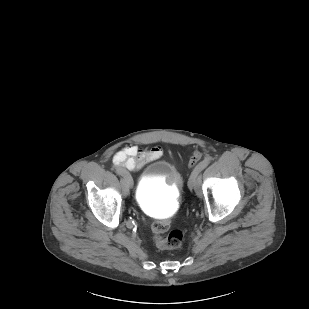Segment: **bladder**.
I'll list each match as a JSON object with an SVG mask.
<instances>
[{
    "label": "bladder",
    "instance_id": "bladder-1",
    "mask_svg": "<svg viewBox=\"0 0 309 309\" xmlns=\"http://www.w3.org/2000/svg\"><path fill=\"white\" fill-rule=\"evenodd\" d=\"M182 184V176L173 163L159 158L153 160L143 168L137 184V204L147 213L169 219L177 208Z\"/></svg>",
    "mask_w": 309,
    "mask_h": 309
}]
</instances>
